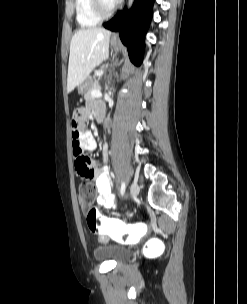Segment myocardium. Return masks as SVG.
<instances>
[{
  "label": "myocardium",
  "mask_w": 247,
  "mask_h": 304,
  "mask_svg": "<svg viewBox=\"0 0 247 304\" xmlns=\"http://www.w3.org/2000/svg\"><path fill=\"white\" fill-rule=\"evenodd\" d=\"M118 4L115 3L109 10L105 9L102 0H91V9L95 17L99 20L110 18L117 10Z\"/></svg>",
  "instance_id": "obj_1"
}]
</instances>
